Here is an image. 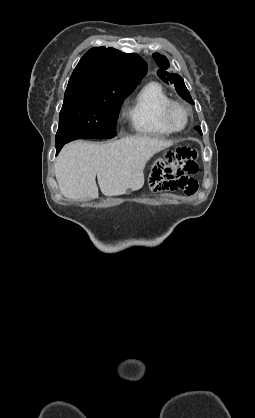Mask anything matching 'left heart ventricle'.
<instances>
[{
    "mask_svg": "<svg viewBox=\"0 0 255 418\" xmlns=\"http://www.w3.org/2000/svg\"><path fill=\"white\" fill-rule=\"evenodd\" d=\"M170 120L175 128H182L186 123V113L181 107H174Z\"/></svg>",
    "mask_w": 255,
    "mask_h": 418,
    "instance_id": "b2bd125f",
    "label": "left heart ventricle"
}]
</instances>
